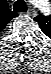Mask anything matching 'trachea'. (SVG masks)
<instances>
[{"label": "trachea", "mask_w": 51, "mask_h": 74, "mask_svg": "<svg viewBox=\"0 0 51 74\" xmlns=\"http://www.w3.org/2000/svg\"><path fill=\"white\" fill-rule=\"evenodd\" d=\"M27 5L23 0H17L13 5L14 12L26 11Z\"/></svg>", "instance_id": "1"}]
</instances>
